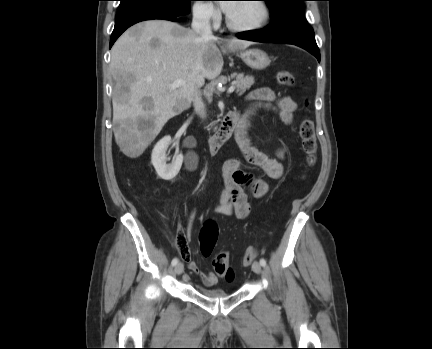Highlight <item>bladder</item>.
Masks as SVG:
<instances>
[{"label":"bladder","mask_w":432,"mask_h":349,"mask_svg":"<svg viewBox=\"0 0 432 349\" xmlns=\"http://www.w3.org/2000/svg\"><path fill=\"white\" fill-rule=\"evenodd\" d=\"M200 292L210 298H221L227 295V292L221 288H206L201 287Z\"/></svg>","instance_id":"31cf9c89"}]
</instances>
